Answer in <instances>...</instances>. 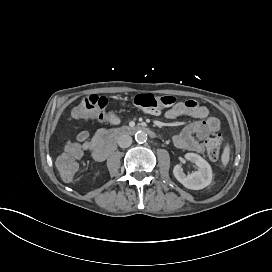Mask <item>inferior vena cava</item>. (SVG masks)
I'll list each match as a JSON object with an SVG mask.
<instances>
[{"instance_id": "obj_1", "label": "inferior vena cava", "mask_w": 272, "mask_h": 272, "mask_svg": "<svg viewBox=\"0 0 272 272\" xmlns=\"http://www.w3.org/2000/svg\"><path fill=\"white\" fill-rule=\"evenodd\" d=\"M132 144V138L128 134H123L118 138V145L122 148H127Z\"/></svg>"}]
</instances>
